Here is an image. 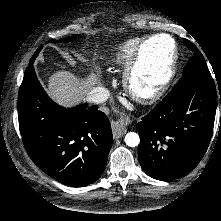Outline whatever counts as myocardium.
I'll return each mask as SVG.
<instances>
[{
	"mask_svg": "<svg viewBox=\"0 0 221 221\" xmlns=\"http://www.w3.org/2000/svg\"><path fill=\"white\" fill-rule=\"evenodd\" d=\"M157 37H166L172 44L171 51L158 75L146 79L143 77L146 50ZM177 61V43L170 34L158 33L142 39L124 71V87L128 95L143 104H152L158 101L174 77Z\"/></svg>",
	"mask_w": 221,
	"mask_h": 221,
	"instance_id": "f54148a6",
	"label": "myocardium"
}]
</instances>
